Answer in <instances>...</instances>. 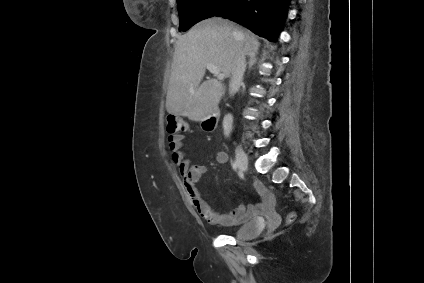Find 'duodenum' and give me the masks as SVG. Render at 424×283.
<instances>
[{
  "label": "duodenum",
  "instance_id": "obj_1",
  "mask_svg": "<svg viewBox=\"0 0 424 283\" xmlns=\"http://www.w3.org/2000/svg\"><path fill=\"white\" fill-rule=\"evenodd\" d=\"M219 112L217 109H212L203 121V128L206 131H212L217 125Z\"/></svg>",
  "mask_w": 424,
  "mask_h": 283
}]
</instances>
